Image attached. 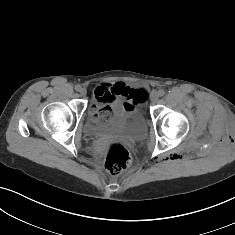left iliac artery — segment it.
Instances as JSON below:
<instances>
[{"label":"left iliac artery","mask_w":235,"mask_h":235,"mask_svg":"<svg viewBox=\"0 0 235 235\" xmlns=\"http://www.w3.org/2000/svg\"><path fill=\"white\" fill-rule=\"evenodd\" d=\"M165 94V91L163 90V89H160L159 91H158V95L159 96H163Z\"/></svg>","instance_id":"obj_1"}]
</instances>
